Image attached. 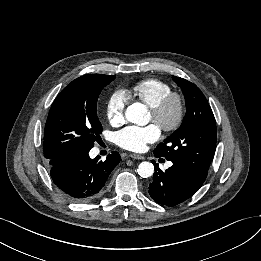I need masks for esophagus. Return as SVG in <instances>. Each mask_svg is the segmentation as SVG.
<instances>
[{
  "instance_id": "34e87169",
  "label": "esophagus",
  "mask_w": 261,
  "mask_h": 261,
  "mask_svg": "<svg viewBox=\"0 0 261 261\" xmlns=\"http://www.w3.org/2000/svg\"><path fill=\"white\" fill-rule=\"evenodd\" d=\"M129 156L131 158H133V159H139V160H143L144 159V156L140 155V154L131 153Z\"/></svg>"
}]
</instances>
